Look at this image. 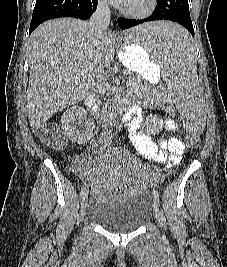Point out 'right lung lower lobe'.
<instances>
[{
	"label": "right lung lower lobe",
	"mask_w": 227,
	"mask_h": 267,
	"mask_svg": "<svg viewBox=\"0 0 227 267\" xmlns=\"http://www.w3.org/2000/svg\"><path fill=\"white\" fill-rule=\"evenodd\" d=\"M97 9V0H36L29 35L42 22L59 17L89 19Z\"/></svg>",
	"instance_id": "1"
}]
</instances>
